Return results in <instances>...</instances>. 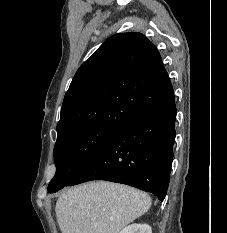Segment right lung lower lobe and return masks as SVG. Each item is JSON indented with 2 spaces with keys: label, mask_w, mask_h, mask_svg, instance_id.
Here are the masks:
<instances>
[{
  "label": "right lung lower lobe",
  "mask_w": 227,
  "mask_h": 233,
  "mask_svg": "<svg viewBox=\"0 0 227 233\" xmlns=\"http://www.w3.org/2000/svg\"><path fill=\"white\" fill-rule=\"evenodd\" d=\"M175 120L173 93L119 128L66 186L107 180L151 192L164 200L173 159Z\"/></svg>",
  "instance_id": "obj_1"
}]
</instances>
